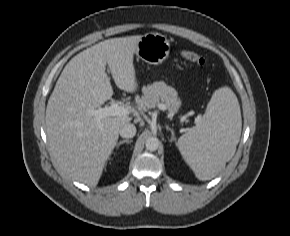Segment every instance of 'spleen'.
Segmentation results:
<instances>
[{"label":"spleen","instance_id":"3e777b00","mask_svg":"<svg viewBox=\"0 0 290 236\" xmlns=\"http://www.w3.org/2000/svg\"><path fill=\"white\" fill-rule=\"evenodd\" d=\"M241 111L229 87L217 89L196 126L177 142L186 163L199 180H210L231 160L240 140Z\"/></svg>","mask_w":290,"mask_h":236}]
</instances>
